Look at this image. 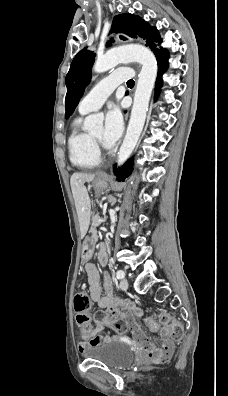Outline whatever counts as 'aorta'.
Listing matches in <instances>:
<instances>
[{
	"label": "aorta",
	"instance_id": "762f6f07",
	"mask_svg": "<svg viewBox=\"0 0 228 396\" xmlns=\"http://www.w3.org/2000/svg\"><path fill=\"white\" fill-rule=\"evenodd\" d=\"M138 62L142 65L126 136L118 152V165H122L133 152L143 130L151 93L157 76V61L154 54L144 46L129 45L109 50L98 57L93 70L103 73L120 63ZM103 117L89 115L84 121V128L92 131L102 127Z\"/></svg>",
	"mask_w": 228,
	"mask_h": 396
}]
</instances>
